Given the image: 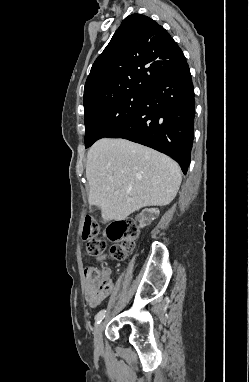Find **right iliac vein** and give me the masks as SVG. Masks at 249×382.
<instances>
[{"label": "right iliac vein", "instance_id": "1", "mask_svg": "<svg viewBox=\"0 0 249 382\" xmlns=\"http://www.w3.org/2000/svg\"><path fill=\"white\" fill-rule=\"evenodd\" d=\"M103 327H104V324L103 322L99 323L96 325L95 329H94V344H95V347L100 349L102 348V332H103Z\"/></svg>", "mask_w": 249, "mask_h": 382}]
</instances>
